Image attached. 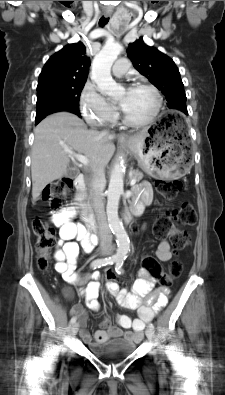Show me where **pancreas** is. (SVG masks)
<instances>
[{"label": "pancreas", "instance_id": "1", "mask_svg": "<svg viewBox=\"0 0 225 395\" xmlns=\"http://www.w3.org/2000/svg\"><path fill=\"white\" fill-rule=\"evenodd\" d=\"M142 178H143V173H142V172H140L139 170L133 171V173H132V175H131V179H135L136 182H138V181H140ZM82 195H83L84 198H87V197H88V195H87V193H86L85 191L82 193ZM88 206H89V205H88Z\"/></svg>", "mask_w": 225, "mask_h": 395}]
</instances>
